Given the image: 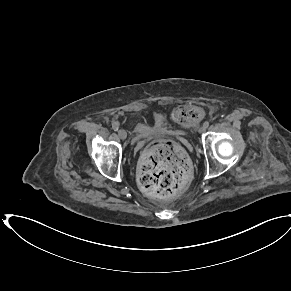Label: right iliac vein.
<instances>
[{
  "label": "right iliac vein",
  "instance_id": "1",
  "mask_svg": "<svg viewBox=\"0 0 291 291\" xmlns=\"http://www.w3.org/2000/svg\"><path fill=\"white\" fill-rule=\"evenodd\" d=\"M118 136H119V138L122 139V140L126 139V137H127V132H126V130H124V129H120V130L118 131Z\"/></svg>",
  "mask_w": 291,
  "mask_h": 291
}]
</instances>
